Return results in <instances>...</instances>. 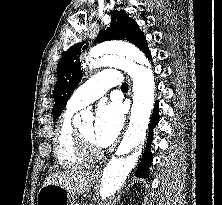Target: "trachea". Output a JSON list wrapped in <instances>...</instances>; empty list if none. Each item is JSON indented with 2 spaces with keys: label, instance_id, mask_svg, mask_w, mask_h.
Returning <instances> with one entry per match:
<instances>
[{
  "label": "trachea",
  "instance_id": "1",
  "mask_svg": "<svg viewBox=\"0 0 222 205\" xmlns=\"http://www.w3.org/2000/svg\"><path fill=\"white\" fill-rule=\"evenodd\" d=\"M121 90H128V84L127 83H123L121 85Z\"/></svg>",
  "mask_w": 222,
  "mask_h": 205
}]
</instances>
